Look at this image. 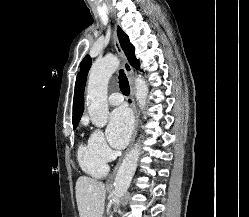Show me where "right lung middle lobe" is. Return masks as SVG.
<instances>
[{"mask_svg":"<svg viewBox=\"0 0 249 217\" xmlns=\"http://www.w3.org/2000/svg\"><path fill=\"white\" fill-rule=\"evenodd\" d=\"M73 129H76V125L73 126Z\"/></svg>","mask_w":249,"mask_h":217,"instance_id":"obj_1","label":"right lung middle lobe"}]
</instances>
